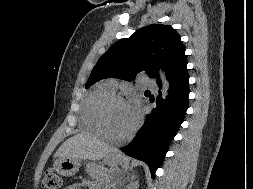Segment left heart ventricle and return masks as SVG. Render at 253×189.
<instances>
[{"mask_svg": "<svg viewBox=\"0 0 253 189\" xmlns=\"http://www.w3.org/2000/svg\"><path fill=\"white\" fill-rule=\"evenodd\" d=\"M108 125L110 130L118 135L127 133L136 123L137 115H135L129 104L115 103L107 114Z\"/></svg>", "mask_w": 253, "mask_h": 189, "instance_id": "left-heart-ventricle-1", "label": "left heart ventricle"}]
</instances>
